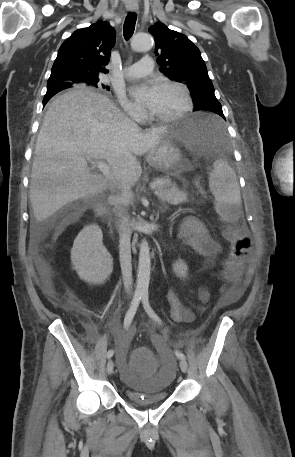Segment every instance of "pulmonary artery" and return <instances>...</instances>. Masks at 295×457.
Segmentation results:
<instances>
[{"label":"pulmonary artery","mask_w":295,"mask_h":457,"mask_svg":"<svg viewBox=\"0 0 295 457\" xmlns=\"http://www.w3.org/2000/svg\"><path fill=\"white\" fill-rule=\"evenodd\" d=\"M154 63L150 56H144L137 63L124 69V75L127 78L143 77L150 74L153 70Z\"/></svg>","instance_id":"obj_1"}]
</instances>
